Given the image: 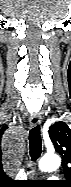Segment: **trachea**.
Segmentation results:
<instances>
[{
  "mask_svg": "<svg viewBox=\"0 0 71 187\" xmlns=\"http://www.w3.org/2000/svg\"><path fill=\"white\" fill-rule=\"evenodd\" d=\"M29 148L30 156L33 161H36L42 152V140L40 136V126L37 125L30 130L29 133Z\"/></svg>",
  "mask_w": 71,
  "mask_h": 187,
  "instance_id": "obj_1",
  "label": "trachea"
}]
</instances>
